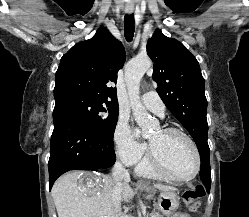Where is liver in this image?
Listing matches in <instances>:
<instances>
[{"label":"liver","mask_w":249,"mask_h":217,"mask_svg":"<svg viewBox=\"0 0 249 217\" xmlns=\"http://www.w3.org/2000/svg\"><path fill=\"white\" fill-rule=\"evenodd\" d=\"M86 179V185L78 180ZM112 177L100 173L73 171L61 176L52 188L58 217H121V201L134 195L129 181H123L121 201H112ZM160 191H172L171 186L154 184ZM148 196L147 198H150Z\"/></svg>","instance_id":"6515ba94"}]
</instances>
